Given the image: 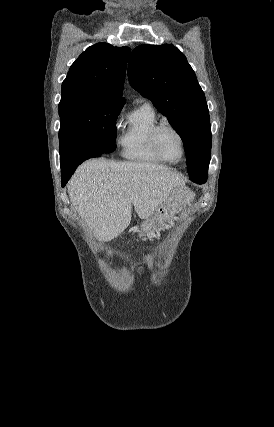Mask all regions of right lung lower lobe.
Returning a JSON list of instances; mask_svg holds the SVG:
<instances>
[{"label": "right lung lower lobe", "instance_id": "obj_1", "mask_svg": "<svg viewBox=\"0 0 274 427\" xmlns=\"http://www.w3.org/2000/svg\"><path fill=\"white\" fill-rule=\"evenodd\" d=\"M102 155H104V154H100V155H97V156H94V157H100ZM81 163L82 162L71 164V165H66V166H61L62 187L65 186V184L70 179L71 175L74 173L75 169Z\"/></svg>", "mask_w": 274, "mask_h": 427}]
</instances>
